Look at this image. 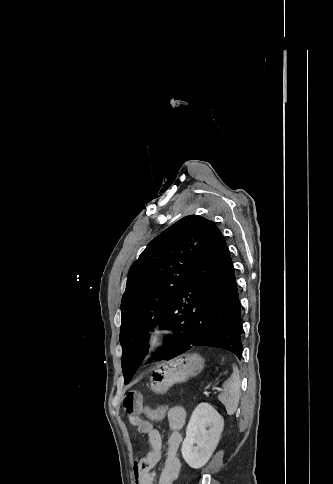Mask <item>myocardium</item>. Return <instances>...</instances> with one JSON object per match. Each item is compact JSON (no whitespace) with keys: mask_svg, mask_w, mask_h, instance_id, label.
Wrapping results in <instances>:
<instances>
[{"mask_svg":"<svg viewBox=\"0 0 333 484\" xmlns=\"http://www.w3.org/2000/svg\"><path fill=\"white\" fill-rule=\"evenodd\" d=\"M172 334L171 328L166 324L155 325L147 334L145 344L147 351L155 355L159 353Z\"/></svg>","mask_w":333,"mask_h":484,"instance_id":"1","label":"myocardium"}]
</instances>
